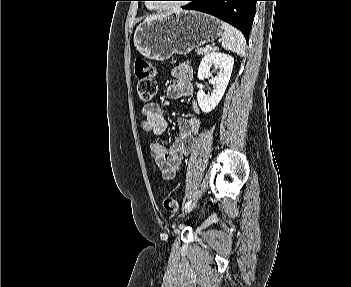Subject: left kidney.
<instances>
[{
    "instance_id": "5707ae66",
    "label": "left kidney",
    "mask_w": 351,
    "mask_h": 287,
    "mask_svg": "<svg viewBox=\"0 0 351 287\" xmlns=\"http://www.w3.org/2000/svg\"><path fill=\"white\" fill-rule=\"evenodd\" d=\"M233 64L234 59L232 56L215 51L208 53L202 59L198 68L199 80H203L210 75L212 66L219 68L217 76L212 77L209 81L214 88L212 93L207 95L203 90H199L197 93V101L203 112L208 113L212 111L222 99L231 77Z\"/></svg>"
}]
</instances>
